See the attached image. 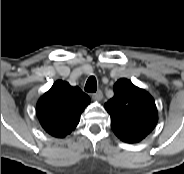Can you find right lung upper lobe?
<instances>
[{
    "instance_id": "right-lung-upper-lobe-1",
    "label": "right lung upper lobe",
    "mask_w": 184,
    "mask_h": 174,
    "mask_svg": "<svg viewBox=\"0 0 184 174\" xmlns=\"http://www.w3.org/2000/svg\"><path fill=\"white\" fill-rule=\"evenodd\" d=\"M89 103V96L79 87L57 80L38 100L36 114L46 132L62 138L75 129L81 113Z\"/></svg>"
}]
</instances>
